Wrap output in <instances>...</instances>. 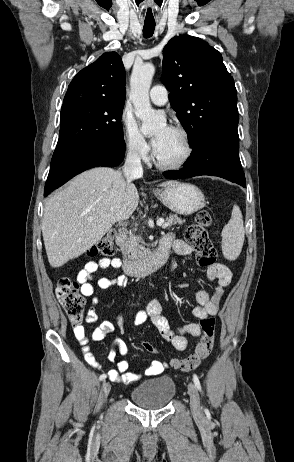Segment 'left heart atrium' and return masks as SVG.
I'll return each mask as SVG.
<instances>
[{"instance_id": "39dd6f15", "label": "left heart atrium", "mask_w": 294, "mask_h": 462, "mask_svg": "<svg viewBox=\"0 0 294 462\" xmlns=\"http://www.w3.org/2000/svg\"><path fill=\"white\" fill-rule=\"evenodd\" d=\"M168 129H169V127H166V129L163 132H161L160 134L154 136V138L152 140V143H153L155 151L160 146L163 135H164L165 131L168 130Z\"/></svg>"}]
</instances>
